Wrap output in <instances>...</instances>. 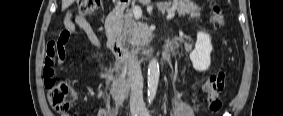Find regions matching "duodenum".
<instances>
[{"mask_svg": "<svg viewBox=\"0 0 283 116\" xmlns=\"http://www.w3.org/2000/svg\"><path fill=\"white\" fill-rule=\"evenodd\" d=\"M124 10L125 6L123 4H118L110 11L105 20V30L108 48L113 52L116 59L121 64L131 67L137 62L138 59L150 55L151 51L148 48L144 49L143 51H126L121 46L116 35V27ZM117 83L124 88H128L130 80L127 77H123Z\"/></svg>", "mask_w": 283, "mask_h": 116, "instance_id": "1", "label": "duodenum"}]
</instances>
